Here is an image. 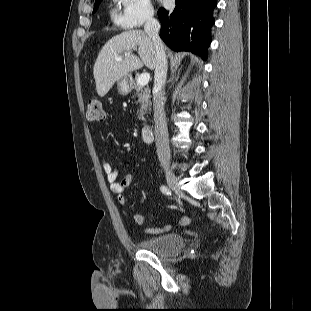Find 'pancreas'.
I'll use <instances>...</instances> for the list:
<instances>
[{
    "mask_svg": "<svg viewBox=\"0 0 311 311\" xmlns=\"http://www.w3.org/2000/svg\"><path fill=\"white\" fill-rule=\"evenodd\" d=\"M131 89L134 90L133 97H137V103L140 105V110L138 111V119L145 120L144 115L148 109L151 107V96L150 89L148 87L139 85L132 81Z\"/></svg>",
    "mask_w": 311,
    "mask_h": 311,
    "instance_id": "cf45deb5",
    "label": "pancreas"
}]
</instances>
